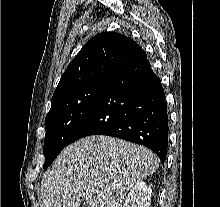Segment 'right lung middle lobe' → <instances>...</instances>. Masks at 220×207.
Here are the masks:
<instances>
[{
    "label": "right lung middle lobe",
    "mask_w": 220,
    "mask_h": 207,
    "mask_svg": "<svg viewBox=\"0 0 220 207\" xmlns=\"http://www.w3.org/2000/svg\"><path fill=\"white\" fill-rule=\"evenodd\" d=\"M107 80L83 85L52 99L45 118L43 153L46 159L43 168L48 167L69 144L71 135L92 110Z\"/></svg>",
    "instance_id": "1"
}]
</instances>
